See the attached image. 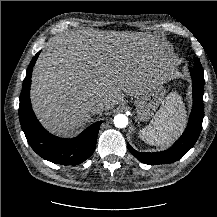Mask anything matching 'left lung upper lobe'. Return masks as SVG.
<instances>
[{"label": "left lung upper lobe", "mask_w": 217, "mask_h": 217, "mask_svg": "<svg viewBox=\"0 0 217 217\" xmlns=\"http://www.w3.org/2000/svg\"><path fill=\"white\" fill-rule=\"evenodd\" d=\"M192 71H193L199 78L204 79V76H203V68H202V66H201V63H200L199 59H196Z\"/></svg>", "instance_id": "5c2ea615"}]
</instances>
